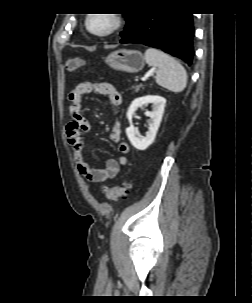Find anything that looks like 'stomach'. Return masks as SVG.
Masks as SVG:
<instances>
[{"label": "stomach", "mask_w": 252, "mask_h": 303, "mask_svg": "<svg viewBox=\"0 0 252 303\" xmlns=\"http://www.w3.org/2000/svg\"><path fill=\"white\" fill-rule=\"evenodd\" d=\"M105 62L115 70L129 73L139 72L145 65L141 52L125 49L112 52L106 57Z\"/></svg>", "instance_id": "obj_1"}]
</instances>
